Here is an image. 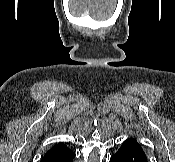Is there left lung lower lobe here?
<instances>
[{"mask_svg": "<svg viewBox=\"0 0 175 162\" xmlns=\"http://www.w3.org/2000/svg\"><path fill=\"white\" fill-rule=\"evenodd\" d=\"M110 162H147V157L135 139L125 140Z\"/></svg>", "mask_w": 175, "mask_h": 162, "instance_id": "0a47b994", "label": "left lung lower lobe"}]
</instances>
